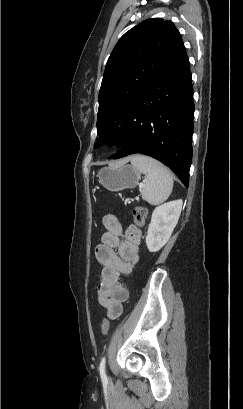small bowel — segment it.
I'll return each mask as SVG.
<instances>
[{"mask_svg":"<svg viewBox=\"0 0 243 409\" xmlns=\"http://www.w3.org/2000/svg\"><path fill=\"white\" fill-rule=\"evenodd\" d=\"M106 231L97 245L96 258L101 265V279L97 286L98 302L108 310L111 319L122 312V303L128 299L127 288L120 275L130 274L139 260L141 230L132 225L127 232L114 214L103 217Z\"/></svg>","mask_w":243,"mask_h":409,"instance_id":"c3829d8e","label":"small bowel"}]
</instances>
